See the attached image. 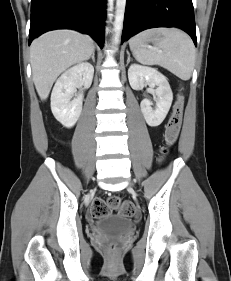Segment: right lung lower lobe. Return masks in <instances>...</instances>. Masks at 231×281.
<instances>
[{"label": "right lung lower lobe", "instance_id": "98d812e1", "mask_svg": "<svg viewBox=\"0 0 231 281\" xmlns=\"http://www.w3.org/2000/svg\"><path fill=\"white\" fill-rule=\"evenodd\" d=\"M106 0H32L29 44L44 32L72 29L104 43Z\"/></svg>", "mask_w": 231, "mask_h": 281}]
</instances>
